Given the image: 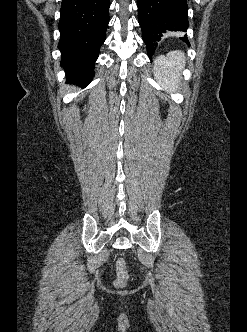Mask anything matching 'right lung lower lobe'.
<instances>
[{
	"label": "right lung lower lobe",
	"instance_id": "right-lung-lower-lobe-1",
	"mask_svg": "<svg viewBox=\"0 0 247 332\" xmlns=\"http://www.w3.org/2000/svg\"><path fill=\"white\" fill-rule=\"evenodd\" d=\"M110 0H62L60 9L61 66L68 81L88 85L99 49L106 38Z\"/></svg>",
	"mask_w": 247,
	"mask_h": 332
}]
</instances>
